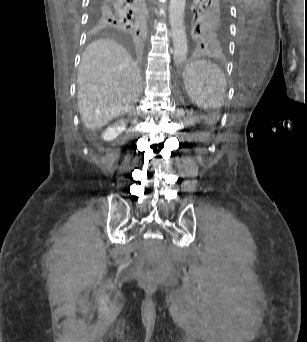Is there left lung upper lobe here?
Segmentation results:
<instances>
[{"label":"left lung upper lobe","mask_w":307,"mask_h":342,"mask_svg":"<svg viewBox=\"0 0 307 342\" xmlns=\"http://www.w3.org/2000/svg\"><path fill=\"white\" fill-rule=\"evenodd\" d=\"M191 27L199 50L222 53L229 37L227 0H192Z\"/></svg>","instance_id":"5c2ea615"}]
</instances>
